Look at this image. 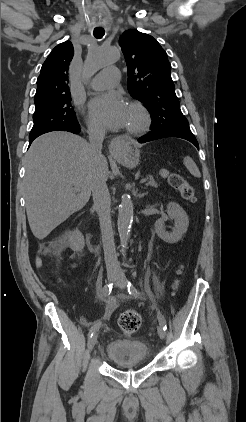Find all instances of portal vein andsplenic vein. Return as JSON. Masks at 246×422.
I'll return each instance as SVG.
<instances>
[{
    "label": "portal vein and splenic vein",
    "instance_id": "1",
    "mask_svg": "<svg viewBox=\"0 0 246 422\" xmlns=\"http://www.w3.org/2000/svg\"><path fill=\"white\" fill-rule=\"evenodd\" d=\"M146 182H147V184H150V183H152V180L151 179L148 180V178H143V179L140 180L141 184L146 183Z\"/></svg>",
    "mask_w": 246,
    "mask_h": 422
}]
</instances>
